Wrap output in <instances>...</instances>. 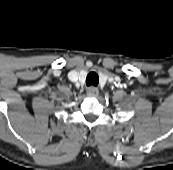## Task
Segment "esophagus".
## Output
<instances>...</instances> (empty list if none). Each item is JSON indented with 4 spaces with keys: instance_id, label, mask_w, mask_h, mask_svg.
Instances as JSON below:
<instances>
[{
    "instance_id": "1",
    "label": "esophagus",
    "mask_w": 173,
    "mask_h": 170,
    "mask_svg": "<svg viewBox=\"0 0 173 170\" xmlns=\"http://www.w3.org/2000/svg\"><path fill=\"white\" fill-rule=\"evenodd\" d=\"M98 94H99V91H98V89H97L96 87H94V86H91V87H89V88L87 89V96H88V97H91V98L97 97Z\"/></svg>"
}]
</instances>
